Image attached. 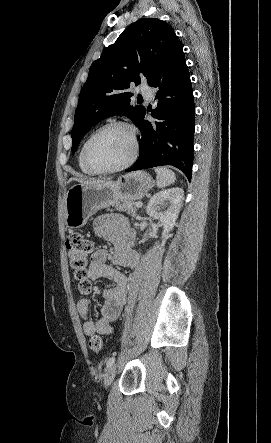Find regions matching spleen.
Here are the masks:
<instances>
[{
	"instance_id": "obj_1",
	"label": "spleen",
	"mask_w": 271,
	"mask_h": 443,
	"mask_svg": "<svg viewBox=\"0 0 271 443\" xmlns=\"http://www.w3.org/2000/svg\"><path fill=\"white\" fill-rule=\"evenodd\" d=\"M157 188H166L170 184H174L176 176L172 170L168 168H155Z\"/></svg>"
}]
</instances>
